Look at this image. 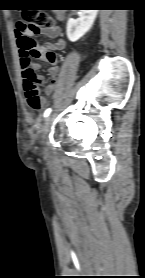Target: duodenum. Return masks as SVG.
<instances>
[{
    "label": "duodenum",
    "instance_id": "duodenum-1",
    "mask_svg": "<svg viewBox=\"0 0 145 278\" xmlns=\"http://www.w3.org/2000/svg\"><path fill=\"white\" fill-rule=\"evenodd\" d=\"M55 88L51 89V90H47L45 93L47 96L51 95L53 93Z\"/></svg>",
    "mask_w": 145,
    "mask_h": 278
}]
</instances>
